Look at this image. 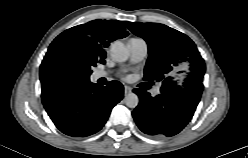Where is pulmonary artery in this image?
<instances>
[{"mask_svg": "<svg viewBox=\"0 0 248 158\" xmlns=\"http://www.w3.org/2000/svg\"><path fill=\"white\" fill-rule=\"evenodd\" d=\"M130 50V61L132 63H138L145 59L148 53V44L142 38H131L128 42ZM108 72L103 70L95 71L93 74L94 79L106 78ZM158 89L156 90V92Z\"/></svg>", "mask_w": 248, "mask_h": 158, "instance_id": "1", "label": "pulmonary artery"}]
</instances>
